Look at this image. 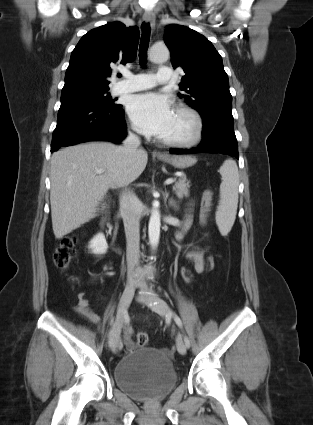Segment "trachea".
<instances>
[{
  "instance_id": "obj_1",
  "label": "trachea",
  "mask_w": 313,
  "mask_h": 425,
  "mask_svg": "<svg viewBox=\"0 0 313 425\" xmlns=\"http://www.w3.org/2000/svg\"><path fill=\"white\" fill-rule=\"evenodd\" d=\"M142 35L140 40V46H139V62L141 65L146 64L147 59V50L149 46V40H150V24L143 22L142 25Z\"/></svg>"
}]
</instances>
